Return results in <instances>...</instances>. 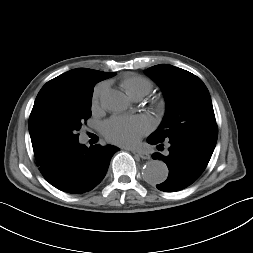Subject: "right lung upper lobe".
Listing matches in <instances>:
<instances>
[{
	"label": "right lung upper lobe",
	"instance_id": "1",
	"mask_svg": "<svg viewBox=\"0 0 253 253\" xmlns=\"http://www.w3.org/2000/svg\"><path fill=\"white\" fill-rule=\"evenodd\" d=\"M115 74L116 73L102 72L87 68L73 69L47 82L40 90L37 98L46 91L56 88H93L96 83L110 78ZM31 141L34 155L40 168L48 165L51 160L60 152L34 138H31Z\"/></svg>",
	"mask_w": 253,
	"mask_h": 253
}]
</instances>
